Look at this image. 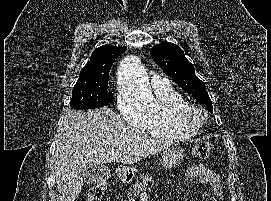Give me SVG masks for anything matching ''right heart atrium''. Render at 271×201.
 Segmentation results:
<instances>
[{
	"instance_id": "right-heart-atrium-1",
	"label": "right heart atrium",
	"mask_w": 271,
	"mask_h": 201,
	"mask_svg": "<svg viewBox=\"0 0 271 201\" xmlns=\"http://www.w3.org/2000/svg\"><path fill=\"white\" fill-rule=\"evenodd\" d=\"M117 109L120 114L132 125L143 127L145 123V114L138 111L132 103L122 94L117 95L116 100Z\"/></svg>"
}]
</instances>
